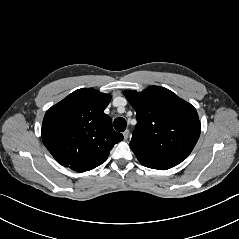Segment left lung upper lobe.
Segmentation results:
<instances>
[{"mask_svg":"<svg viewBox=\"0 0 239 239\" xmlns=\"http://www.w3.org/2000/svg\"><path fill=\"white\" fill-rule=\"evenodd\" d=\"M124 95L136 111L137 125L130 147L139 162L159 170L181 163L200 135L196 109L160 86L142 92L126 90Z\"/></svg>","mask_w":239,"mask_h":239,"instance_id":"1","label":"left lung upper lobe"}]
</instances>
